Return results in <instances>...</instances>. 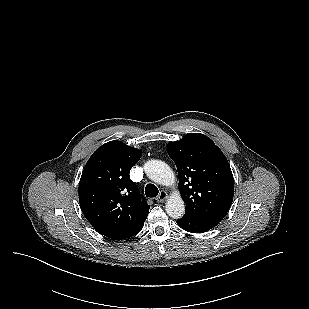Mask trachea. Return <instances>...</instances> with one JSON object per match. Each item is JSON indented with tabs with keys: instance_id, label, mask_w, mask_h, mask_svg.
I'll return each instance as SVG.
<instances>
[{
	"instance_id": "3493384b",
	"label": "trachea",
	"mask_w": 309,
	"mask_h": 309,
	"mask_svg": "<svg viewBox=\"0 0 309 309\" xmlns=\"http://www.w3.org/2000/svg\"><path fill=\"white\" fill-rule=\"evenodd\" d=\"M158 188L154 184H147L145 187V195L149 198L156 197L158 195Z\"/></svg>"
}]
</instances>
